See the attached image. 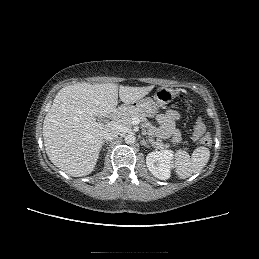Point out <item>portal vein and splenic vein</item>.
<instances>
[{
    "label": "portal vein and splenic vein",
    "mask_w": 259,
    "mask_h": 259,
    "mask_svg": "<svg viewBox=\"0 0 259 259\" xmlns=\"http://www.w3.org/2000/svg\"><path fill=\"white\" fill-rule=\"evenodd\" d=\"M139 122H140V120L138 118H133L132 119V124H134V125L139 124Z\"/></svg>",
    "instance_id": "portal-vein-and-splenic-vein-1"
}]
</instances>
